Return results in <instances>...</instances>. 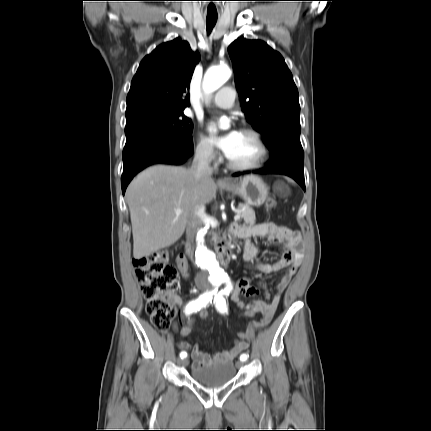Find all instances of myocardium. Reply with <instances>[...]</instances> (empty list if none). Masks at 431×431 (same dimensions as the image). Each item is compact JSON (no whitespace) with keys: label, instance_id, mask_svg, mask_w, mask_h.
<instances>
[{"label":"myocardium","instance_id":"1","mask_svg":"<svg viewBox=\"0 0 431 431\" xmlns=\"http://www.w3.org/2000/svg\"><path fill=\"white\" fill-rule=\"evenodd\" d=\"M240 133L250 135L255 140L260 151L259 156L253 162L246 163V164L235 163L226 156L227 166L233 170H238V171L253 170L263 166L268 159L269 149L261 134L252 128H242L240 130Z\"/></svg>","mask_w":431,"mask_h":431}]
</instances>
